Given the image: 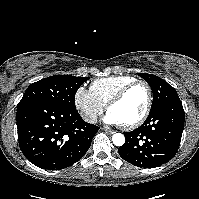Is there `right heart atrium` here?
<instances>
[{
	"mask_svg": "<svg viewBox=\"0 0 199 199\" xmlns=\"http://www.w3.org/2000/svg\"><path fill=\"white\" fill-rule=\"evenodd\" d=\"M75 105L84 120L89 123H94L104 110V105L83 86L79 87L75 93Z\"/></svg>",
	"mask_w": 199,
	"mask_h": 199,
	"instance_id": "right-heart-atrium-1",
	"label": "right heart atrium"
}]
</instances>
